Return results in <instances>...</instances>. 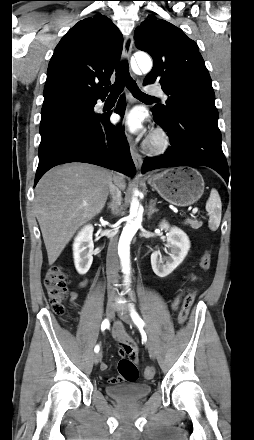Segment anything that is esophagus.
Instances as JSON below:
<instances>
[{
	"label": "esophagus",
	"instance_id": "1",
	"mask_svg": "<svg viewBox=\"0 0 254 440\" xmlns=\"http://www.w3.org/2000/svg\"><path fill=\"white\" fill-rule=\"evenodd\" d=\"M132 47H133V37L131 35H127L124 38V42H123V58L128 60L131 56V52H132ZM128 142H129V146H130V152H131V156L133 159V162L136 166L137 169H140L142 166V156L139 154L137 148H136V144L134 143L132 137L130 135H128Z\"/></svg>",
	"mask_w": 254,
	"mask_h": 440
}]
</instances>
